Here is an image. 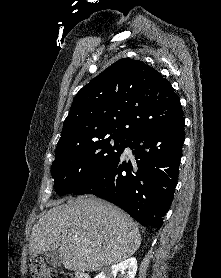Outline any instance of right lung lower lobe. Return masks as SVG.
Returning a JSON list of instances; mask_svg holds the SVG:
<instances>
[{"label": "right lung lower lobe", "instance_id": "1", "mask_svg": "<svg viewBox=\"0 0 221 278\" xmlns=\"http://www.w3.org/2000/svg\"><path fill=\"white\" fill-rule=\"evenodd\" d=\"M184 116L127 138L134 160L122 154L73 193L93 194L126 211L143 226L160 229L173 200L185 140Z\"/></svg>", "mask_w": 221, "mask_h": 278}]
</instances>
